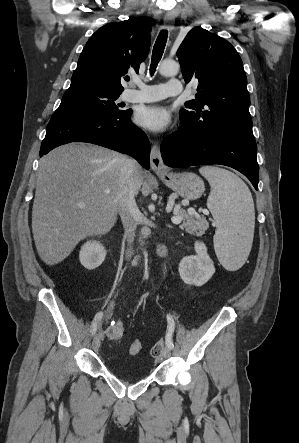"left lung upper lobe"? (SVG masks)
I'll list each match as a JSON object with an SVG mask.
<instances>
[{
    "label": "left lung upper lobe",
    "instance_id": "obj_1",
    "mask_svg": "<svg viewBox=\"0 0 299 443\" xmlns=\"http://www.w3.org/2000/svg\"><path fill=\"white\" fill-rule=\"evenodd\" d=\"M177 56L186 82H198L195 99L180 110L182 123L195 132L252 134L250 96L242 60L225 39L193 28L180 45Z\"/></svg>",
    "mask_w": 299,
    "mask_h": 443
}]
</instances>
